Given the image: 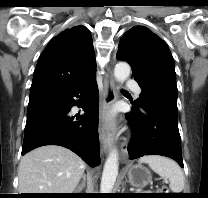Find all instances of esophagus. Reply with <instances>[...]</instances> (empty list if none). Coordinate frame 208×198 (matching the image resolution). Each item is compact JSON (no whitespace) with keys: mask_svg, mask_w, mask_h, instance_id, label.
I'll use <instances>...</instances> for the list:
<instances>
[{"mask_svg":"<svg viewBox=\"0 0 208 198\" xmlns=\"http://www.w3.org/2000/svg\"><path fill=\"white\" fill-rule=\"evenodd\" d=\"M117 98V86L113 79L111 70L106 74L104 81V90H103V102L100 109V140L102 144V149L105 153H108L114 144V135L109 131L108 127V115L111 107Z\"/></svg>","mask_w":208,"mask_h":198,"instance_id":"obj_1","label":"esophagus"}]
</instances>
